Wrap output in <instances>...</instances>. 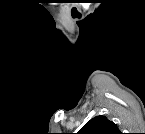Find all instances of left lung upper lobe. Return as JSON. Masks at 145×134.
Wrapping results in <instances>:
<instances>
[{"instance_id":"5c2ea615","label":"left lung upper lobe","mask_w":145,"mask_h":134,"mask_svg":"<svg viewBox=\"0 0 145 134\" xmlns=\"http://www.w3.org/2000/svg\"><path fill=\"white\" fill-rule=\"evenodd\" d=\"M79 134H120L116 124L105 116H96L89 120L78 132Z\"/></svg>"}]
</instances>
